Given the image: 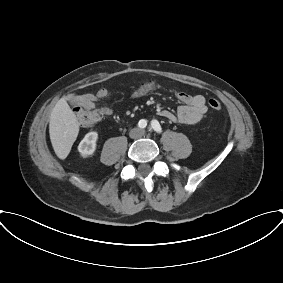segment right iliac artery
I'll use <instances>...</instances> for the list:
<instances>
[{
    "mask_svg": "<svg viewBox=\"0 0 283 283\" xmlns=\"http://www.w3.org/2000/svg\"><path fill=\"white\" fill-rule=\"evenodd\" d=\"M138 126H139L140 128H145V127L147 126V121L144 120V119H141V120L139 121V123H138Z\"/></svg>",
    "mask_w": 283,
    "mask_h": 283,
    "instance_id": "82829eb1",
    "label": "right iliac artery"
}]
</instances>
